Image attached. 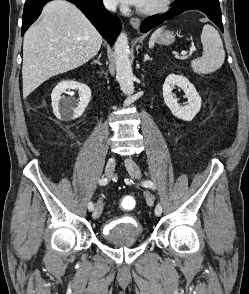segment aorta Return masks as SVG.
Returning <instances> with one entry per match:
<instances>
[{
	"mask_svg": "<svg viewBox=\"0 0 249 294\" xmlns=\"http://www.w3.org/2000/svg\"><path fill=\"white\" fill-rule=\"evenodd\" d=\"M116 78L122 92L128 96L134 92V75L130 61V50L126 33L121 32L114 44Z\"/></svg>",
	"mask_w": 249,
	"mask_h": 294,
	"instance_id": "1",
	"label": "aorta"
}]
</instances>
